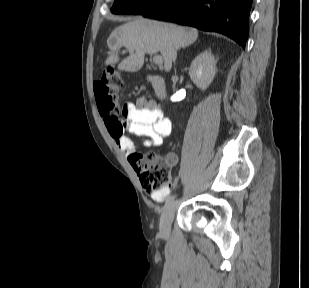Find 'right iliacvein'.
Returning <instances> with one entry per match:
<instances>
[{
    "mask_svg": "<svg viewBox=\"0 0 309 288\" xmlns=\"http://www.w3.org/2000/svg\"><path fill=\"white\" fill-rule=\"evenodd\" d=\"M178 201L172 200L165 207L160 218V232L164 237H168L170 234L171 223L177 208Z\"/></svg>",
    "mask_w": 309,
    "mask_h": 288,
    "instance_id": "right-iliac-vein-1",
    "label": "right iliac vein"
}]
</instances>
